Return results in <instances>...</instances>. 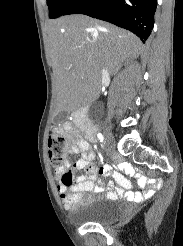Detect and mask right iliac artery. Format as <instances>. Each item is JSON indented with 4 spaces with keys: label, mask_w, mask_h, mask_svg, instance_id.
<instances>
[{
    "label": "right iliac artery",
    "mask_w": 183,
    "mask_h": 246,
    "mask_svg": "<svg viewBox=\"0 0 183 246\" xmlns=\"http://www.w3.org/2000/svg\"><path fill=\"white\" fill-rule=\"evenodd\" d=\"M97 137L99 138V140H100L101 142L104 141V137H103V135H102L101 133H98V134H97Z\"/></svg>",
    "instance_id": "right-iliac-artery-1"
}]
</instances>
